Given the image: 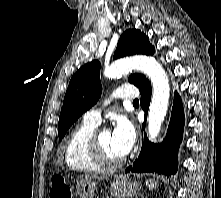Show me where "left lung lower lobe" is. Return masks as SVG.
Returning a JSON list of instances; mask_svg holds the SVG:
<instances>
[{"mask_svg": "<svg viewBox=\"0 0 221 198\" xmlns=\"http://www.w3.org/2000/svg\"><path fill=\"white\" fill-rule=\"evenodd\" d=\"M141 93V107L148 112L151 100V84L146 81L139 87ZM184 111L181 98L177 93L174 96L172 116L169 123L166 139L163 144H152L145 135L144 143L138 158L125 172L143 173L155 172L171 175L177 172V150L182 140Z\"/></svg>", "mask_w": 221, "mask_h": 198, "instance_id": "1", "label": "left lung lower lobe"}]
</instances>
